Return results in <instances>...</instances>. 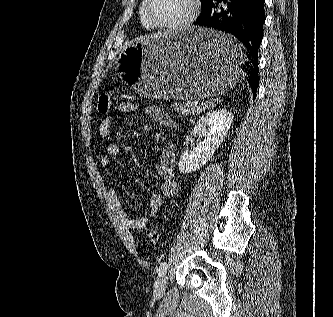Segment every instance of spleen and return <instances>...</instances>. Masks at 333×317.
<instances>
[{
  "instance_id": "1",
  "label": "spleen",
  "mask_w": 333,
  "mask_h": 317,
  "mask_svg": "<svg viewBox=\"0 0 333 317\" xmlns=\"http://www.w3.org/2000/svg\"><path fill=\"white\" fill-rule=\"evenodd\" d=\"M231 44H233V46H235L236 48H240V45L237 44V42L234 39H233V42ZM243 75H244L243 71L238 68V76H243Z\"/></svg>"
}]
</instances>
